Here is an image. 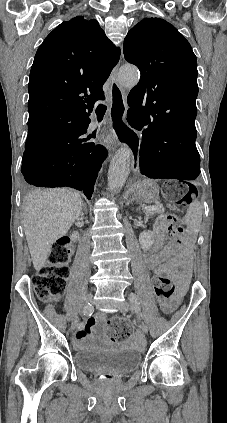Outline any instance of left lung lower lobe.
Instances as JSON below:
<instances>
[{
  "instance_id": "obj_1",
  "label": "left lung lower lobe",
  "mask_w": 227,
  "mask_h": 423,
  "mask_svg": "<svg viewBox=\"0 0 227 423\" xmlns=\"http://www.w3.org/2000/svg\"><path fill=\"white\" fill-rule=\"evenodd\" d=\"M196 115L130 108L127 121L142 130L139 168L149 178L194 180L200 174ZM187 183V182H185Z\"/></svg>"
}]
</instances>
